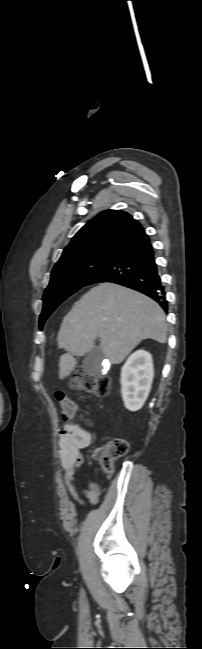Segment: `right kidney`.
<instances>
[{"label":"right kidney","mask_w":202,"mask_h":649,"mask_svg":"<svg viewBox=\"0 0 202 649\" xmlns=\"http://www.w3.org/2000/svg\"><path fill=\"white\" fill-rule=\"evenodd\" d=\"M154 377L152 356L145 350L132 353L121 369V394L125 407L138 411L144 405Z\"/></svg>","instance_id":"ca27d5eb"}]
</instances>
